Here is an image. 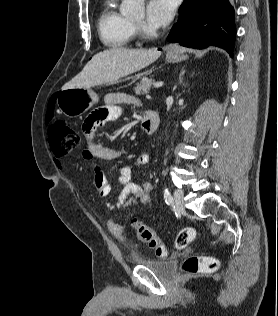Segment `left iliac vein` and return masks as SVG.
Segmentation results:
<instances>
[{
    "instance_id": "obj_1",
    "label": "left iliac vein",
    "mask_w": 278,
    "mask_h": 316,
    "mask_svg": "<svg viewBox=\"0 0 278 316\" xmlns=\"http://www.w3.org/2000/svg\"><path fill=\"white\" fill-rule=\"evenodd\" d=\"M174 202L178 211L180 212L185 211L184 193L181 190H176L174 192Z\"/></svg>"
}]
</instances>
